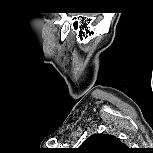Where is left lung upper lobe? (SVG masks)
Returning a JSON list of instances; mask_svg holds the SVG:
<instances>
[{"label": "left lung upper lobe", "instance_id": "1", "mask_svg": "<svg viewBox=\"0 0 153 153\" xmlns=\"http://www.w3.org/2000/svg\"><path fill=\"white\" fill-rule=\"evenodd\" d=\"M123 147L124 144L112 135L94 134L79 149L84 153H112L121 150Z\"/></svg>", "mask_w": 153, "mask_h": 153}]
</instances>
